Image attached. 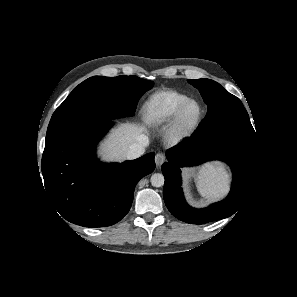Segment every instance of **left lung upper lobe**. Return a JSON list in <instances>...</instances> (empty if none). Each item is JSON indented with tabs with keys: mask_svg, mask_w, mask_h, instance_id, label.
<instances>
[{
	"mask_svg": "<svg viewBox=\"0 0 297 297\" xmlns=\"http://www.w3.org/2000/svg\"><path fill=\"white\" fill-rule=\"evenodd\" d=\"M188 82L199 90L208 107L205 119L195 131L198 137L228 132L256 140L248 113L239 98L210 79L188 80Z\"/></svg>",
	"mask_w": 297,
	"mask_h": 297,
	"instance_id": "5c2ea615",
	"label": "left lung upper lobe"
}]
</instances>
